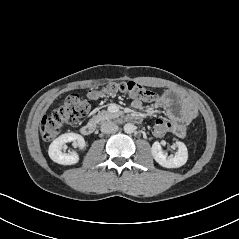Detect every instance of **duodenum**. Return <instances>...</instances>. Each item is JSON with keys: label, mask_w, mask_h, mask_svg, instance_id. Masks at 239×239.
<instances>
[{"label": "duodenum", "mask_w": 239, "mask_h": 239, "mask_svg": "<svg viewBox=\"0 0 239 239\" xmlns=\"http://www.w3.org/2000/svg\"><path fill=\"white\" fill-rule=\"evenodd\" d=\"M130 119L139 122L141 120L139 115H132ZM97 127V122L95 120H90L81 127V133L83 135L89 136L94 133Z\"/></svg>", "instance_id": "obj_1"}]
</instances>
